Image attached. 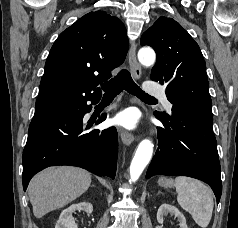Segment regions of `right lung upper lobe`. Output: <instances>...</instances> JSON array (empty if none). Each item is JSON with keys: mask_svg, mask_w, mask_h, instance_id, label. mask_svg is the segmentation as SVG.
I'll return each instance as SVG.
<instances>
[{"mask_svg": "<svg viewBox=\"0 0 238 228\" xmlns=\"http://www.w3.org/2000/svg\"><path fill=\"white\" fill-rule=\"evenodd\" d=\"M128 50L124 24L106 12H90L64 30L45 63L36 111L101 96L96 85L108 80Z\"/></svg>", "mask_w": 238, "mask_h": 228, "instance_id": "cb5924a9", "label": "right lung upper lobe"}]
</instances>
